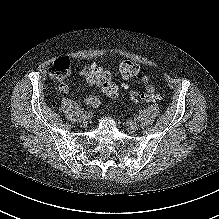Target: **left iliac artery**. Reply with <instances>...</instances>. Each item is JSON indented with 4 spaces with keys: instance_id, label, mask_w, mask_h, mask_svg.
I'll list each match as a JSON object with an SVG mask.
<instances>
[{
    "instance_id": "44dca946",
    "label": "left iliac artery",
    "mask_w": 219,
    "mask_h": 219,
    "mask_svg": "<svg viewBox=\"0 0 219 219\" xmlns=\"http://www.w3.org/2000/svg\"><path fill=\"white\" fill-rule=\"evenodd\" d=\"M134 120H135V121H138L139 119H138V117H137V116H135V117H134Z\"/></svg>"
}]
</instances>
